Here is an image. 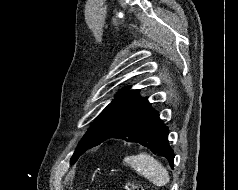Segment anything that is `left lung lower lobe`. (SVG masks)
<instances>
[{
    "mask_svg": "<svg viewBox=\"0 0 238 190\" xmlns=\"http://www.w3.org/2000/svg\"><path fill=\"white\" fill-rule=\"evenodd\" d=\"M110 138L139 143L165 157L173 168L174 152L168 142V127L147 98L141 97L124 111L102 142Z\"/></svg>",
    "mask_w": 238,
    "mask_h": 190,
    "instance_id": "0a47b994",
    "label": "left lung lower lobe"
}]
</instances>
